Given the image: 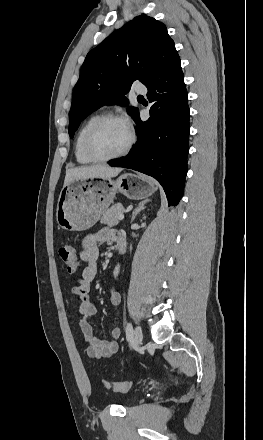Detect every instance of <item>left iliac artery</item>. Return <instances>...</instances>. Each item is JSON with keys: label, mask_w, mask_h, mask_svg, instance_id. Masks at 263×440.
I'll return each instance as SVG.
<instances>
[{"label": "left iliac artery", "mask_w": 263, "mask_h": 440, "mask_svg": "<svg viewBox=\"0 0 263 440\" xmlns=\"http://www.w3.org/2000/svg\"><path fill=\"white\" fill-rule=\"evenodd\" d=\"M125 332H126V339L131 340L133 337V327L131 323H127Z\"/></svg>", "instance_id": "obj_1"}]
</instances>
